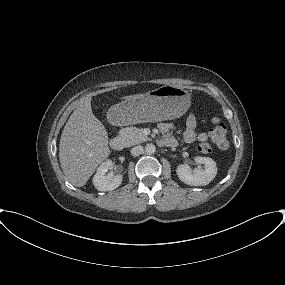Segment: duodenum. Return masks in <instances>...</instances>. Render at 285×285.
<instances>
[{"mask_svg":"<svg viewBox=\"0 0 285 285\" xmlns=\"http://www.w3.org/2000/svg\"><path fill=\"white\" fill-rule=\"evenodd\" d=\"M113 143H114V147L120 150L124 145V140L121 137H116Z\"/></svg>","mask_w":285,"mask_h":285,"instance_id":"410a0bca","label":"duodenum"}]
</instances>
